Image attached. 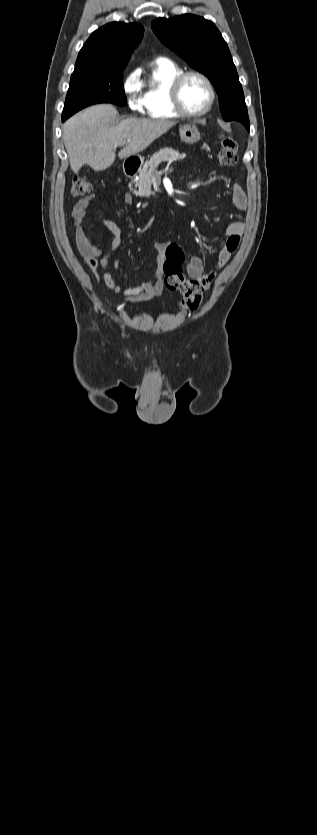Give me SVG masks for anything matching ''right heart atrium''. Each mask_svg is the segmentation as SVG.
<instances>
[{
    "mask_svg": "<svg viewBox=\"0 0 317 835\" xmlns=\"http://www.w3.org/2000/svg\"><path fill=\"white\" fill-rule=\"evenodd\" d=\"M122 89L127 97L129 108L133 112H142L144 109V102L142 96L139 94V78L136 72H130L124 78Z\"/></svg>",
    "mask_w": 317,
    "mask_h": 835,
    "instance_id": "obj_1",
    "label": "right heart atrium"
}]
</instances>
